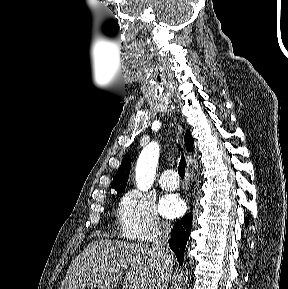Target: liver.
<instances>
[{"label":"liver","mask_w":288,"mask_h":289,"mask_svg":"<svg viewBox=\"0 0 288 289\" xmlns=\"http://www.w3.org/2000/svg\"><path fill=\"white\" fill-rule=\"evenodd\" d=\"M174 262L167 271L153 247L99 240L75 258L59 289H111L123 279V289H167Z\"/></svg>","instance_id":"obj_1"}]
</instances>
